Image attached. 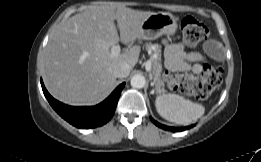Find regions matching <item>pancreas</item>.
<instances>
[{"instance_id": "cf45deb5", "label": "pancreas", "mask_w": 261, "mask_h": 162, "mask_svg": "<svg viewBox=\"0 0 261 162\" xmlns=\"http://www.w3.org/2000/svg\"><path fill=\"white\" fill-rule=\"evenodd\" d=\"M145 48L151 53L152 77L155 90L159 93L164 92V82L161 79L162 63H161V46L158 44L147 43Z\"/></svg>"}]
</instances>
